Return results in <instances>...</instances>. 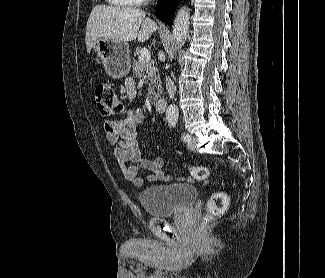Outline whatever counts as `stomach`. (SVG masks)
Here are the masks:
<instances>
[{"label":"stomach","mask_w":325,"mask_h":278,"mask_svg":"<svg viewBox=\"0 0 325 278\" xmlns=\"http://www.w3.org/2000/svg\"><path fill=\"white\" fill-rule=\"evenodd\" d=\"M92 48L101 59L109 75L114 78H122L129 73L131 64L127 42L101 38L95 41Z\"/></svg>","instance_id":"0dacf381"}]
</instances>
